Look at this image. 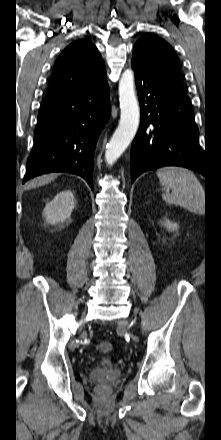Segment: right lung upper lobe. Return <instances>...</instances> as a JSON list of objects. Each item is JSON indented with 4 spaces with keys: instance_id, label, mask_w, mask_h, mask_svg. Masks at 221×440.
I'll list each match as a JSON object with an SVG mask.
<instances>
[{
    "instance_id": "right-lung-upper-lobe-1",
    "label": "right lung upper lobe",
    "mask_w": 221,
    "mask_h": 440,
    "mask_svg": "<svg viewBox=\"0 0 221 440\" xmlns=\"http://www.w3.org/2000/svg\"><path fill=\"white\" fill-rule=\"evenodd\" d=\"M106 82L105 64L98 49L91 41L80 39L57 58L46 96L96 89Z\"/></svg>"
}]
</instances>
